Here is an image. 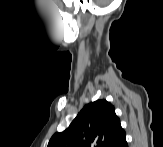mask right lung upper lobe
<instances>
[{
	"label": "right lung upper lobe",
	"instance_id": "right-lung-upper-lobe-1",
	"mask_svg": "<svg viewBox=\"0 0 163 147\" xmlns=\"http://www.w3.org/2000/svg\"><path fill=\"white\" fill-rule=\"evenodd\" d=\"M124 135L114 106L103 99L85 105L66 130L51 137L48 147H112Z\"/></svg>",
	"mask_w": 163,
	"mask_h": 147
}]
</instances>
